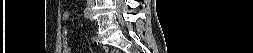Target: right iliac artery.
I'll list each match as a JSON object with an SVG mask.
<instances>
[{
	"mask_svg": "<svg viewBox=\"0 0 253 53\" xmlns=\"http://www.w3.org/2000/svg\"><path fill=\"white\" fill-rule=\"evenodd\" d=\"M89 14H90V8L89 7H86L85 11H84V16L85 18H89Z\"/></svg>",
	"mask_w": 253,
	"mask_h": 53,
	"instance_id": "1",
	"label": "right iliac artery"
}]
</instances>
